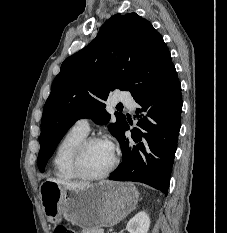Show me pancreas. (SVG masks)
Returning a JSON list of instances; mask_svg holds the SVG:
<instances>
[{
    "label": "pancreas",
    "instance_id": "obj_1",
    "mask_svg": "<svg viewBox=\"0 0 227 233\" xmlns=\"http://www.w3.org/2000/svg\"><path fill=\"white\" fill-rule=\"evenodd\" d=\"M83 233H102V231L100 229H89V228H85Z\"/></svg>",
    "mask_w": 227,
    "mask_h": 233
}]
</instances>
